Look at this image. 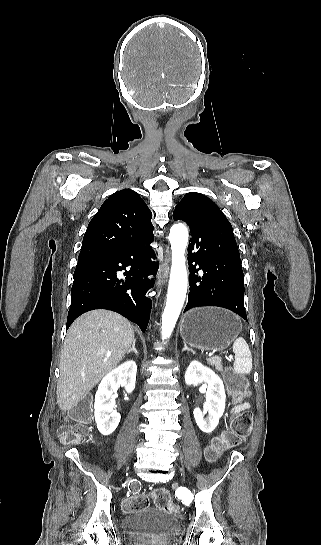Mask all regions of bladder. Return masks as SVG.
Segmentation results:
<instances>
[{
    "label": "bladder",
    "instance_id": "bladder-1",
    "mask_svg": "<svg viewBox=\"0 0 321 545\" xmlns=\"http://www.w3.org/2000/svg\"><path fill=\"white\" fill-rule=\"evenodd\" d=\"M127 540L135 544L169 541L179 531L178 519L156 507H145L128 513L122 520Z\"/></svg>",
    "mask_w": 321,
    "mask_h": 545
}]
</instances>
